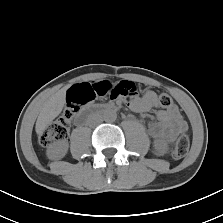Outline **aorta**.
I'll list each match as a JSON object with an SVG mask.
<instances>
[{
  "label": "aorta",
  "mask_w": 223,
  "mask_h": 223,
  "mask_svg": "<svg viewBox=\"0 0 223 223\" xmlns=\"http://www.w3.org/2000/svg\"><path fill=\"white\" fill-rule=\"evenodd\" d=\"M103 119L106 122L112 123V122H114L117 119V114H116V112L114 110H106L103 113Z\"/></svg>",
  "instance_id": "762f6f07"
}]
</instances>
